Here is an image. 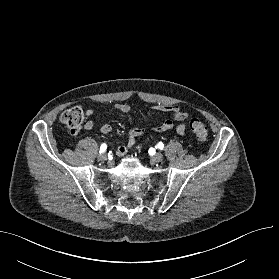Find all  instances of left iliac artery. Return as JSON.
Wrapping results in <instances>:
<instances>
[{
    "instance_id": "44dca946",
    "label": "left iliac artery",
    "mask_w": 279,
    "mask_h": 279,
    "mask_svg": "<svg viewBox=\"0 0 279 279\" xmlns=\"http://www.w3.org/2000/svg\"><path fill=\"white\" fill-rule=\"evenodd\" d=\"M157 148L160 149V150H162V149L164 148L163 143H162V142H159V143L157 144Z\"/></svg>"
}]
</instances>
